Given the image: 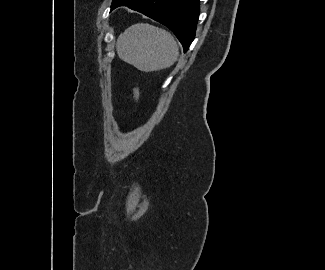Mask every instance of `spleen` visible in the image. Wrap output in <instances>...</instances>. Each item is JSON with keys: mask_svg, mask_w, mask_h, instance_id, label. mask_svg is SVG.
Here are the masks:
<instances>
[{"mask_svg": "<svg viewBox=\"0 0 325 270\" xmlns=\"http://www.w3.org/2000/svg\"><path fill=\"white\" fill-rule=\"evenodd\" d=\"M116 50L120 59L144 72L168 68L179 56L174 37L148 23H137L127 28L118 37Z\"/></svg>", "mask_w": 325, "mask_h": 270, "instance_id": "obj_1", "label": "spleen"}]
</instances>
